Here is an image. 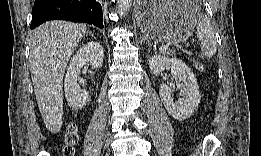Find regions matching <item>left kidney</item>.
<instances>
[{
	"instance_id": "5707ae66",
	"label": "left kidney",
	"mask_w": 261,
	"mask_h": 156,
	"mask_svg": "<svg viewBox=\"0 0 261 156\" xmlns=\"http://www.w3.org/2000/svg\"><path fill=\"white\" fill-rule=\"evenodd\" d=\"M150 71L159 76L165 69H170L177 88L183 89L185 98L176 101L172 97V89L162 83L159 89L161 101L168 113L175 119L183 121L189 118L200 103L197 79L191 69L180 59L162 55L153 56L149 60Z\"/></svg>"
}]
</instances>
